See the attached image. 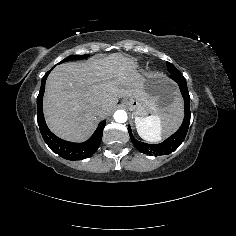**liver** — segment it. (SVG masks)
Wrapping results in <instances>:
<instances>
[{
  "label": "liver",
  "mask_w": 236,
  "mask_h": 236,
  "mask_svg": "<svg viewBox=\"0 0 236 236\" xmlns=\"http://www.w3.org/2000/svg\"><path fill=\"white\" fill-rule=\"evenodd\" d=\"M143 80L134 57L121 53L61 63L45 82V122L60 139L86 142L95 132L97 122L113 113L119 98H140ZM175 107L182 111V101Z\"/></svg>",
  "instance_id": "6515ba94"
}]
</instances>
